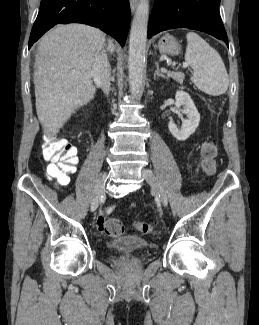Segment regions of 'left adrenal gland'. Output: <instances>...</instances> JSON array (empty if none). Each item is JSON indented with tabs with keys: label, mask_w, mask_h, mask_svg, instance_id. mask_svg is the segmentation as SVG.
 I'll list each match as a JSON object with an SVG mask.
<instances>
[{
	"label": "left adrenal gland",
	"mask_w": 259,
	"mask_h": 325,
	"mask_svg": "<svg viewBox=\"0 0 259 325\" xmlns=\"http://www.w3.org/2000/svg\"><path fill=\"white\" fill-rule=\"evenodd\" d=\"M155 65H156V71H155V73H154V79H156V76H157V77H161V78L166 79V76L160 73V70H159V63L156 62Z\"/></svg>",
	"instance_id": "obj_1"
}]
</instances>
